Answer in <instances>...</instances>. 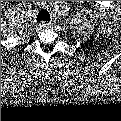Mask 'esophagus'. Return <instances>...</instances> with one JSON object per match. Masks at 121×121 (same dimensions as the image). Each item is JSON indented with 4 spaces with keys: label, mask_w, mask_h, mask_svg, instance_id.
Wrapping results in <instances>:
<instances>
[{
    "label": "esophagus",
    "mask_w": 121,
    "mask_h": 121,
    "mask_svg": "<svg viewBox=\"0 0 121 121\" xmlns=\"http://www.w3.org/2000/svg\"><path fill=\"white\" fill-rule=\"evenodd\" d=\"M50 27V23H48V22H45V21H43L41 24H40V28H49Z\"/></svg>",
    "instance_id": "34e87169"
}]
</instances>
